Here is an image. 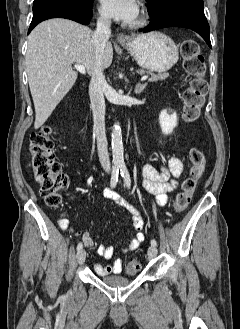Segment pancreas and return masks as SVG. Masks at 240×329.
I'll return each instance as SVG.
<instances>
[{
  "instance_id": "obj_1",
  "label": "pancreas",
  "mask_w": 240,
  "mask_h": 329,
  "mask_svg": "<svg viewBox=\"0 0 240 329\" xmlns=\"http://www.w3.org/2000/svg\"><path fill=\"white\" fill-rule=\"evenodd\" d=\"M139 74H143L142 71H139L138 72ZM169 76L168 73H160V74H151V77L149 78V82H156V81H159V80H164L166 79L167 77Z\"/></svg>"
}]
</instances>
